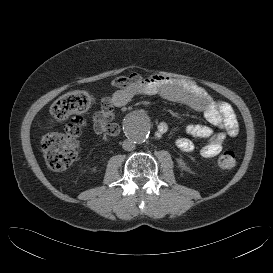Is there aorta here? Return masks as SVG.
<instances>
[{"instance_id": "762f6f07", "label": "aorta", "mask_w": 273, "mask_h": 273, "mask_svg": "<svg viewBox=\"0 0 273 273\" xmlns=\"http://www.w3.org/2000/svg\"><path fill=\"white\" fill-rule=\"evenodd\" d=\"M125 130L137 143L145 142L148 138L149 131L144 120L132 118L125 124Z\"/></svg>"}]
</instances>
